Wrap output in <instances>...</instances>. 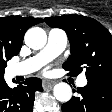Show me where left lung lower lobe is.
I'll return each instance as SVG.
<instances>
[{
	"mask_svg": "<svg viewBox=\"0 0 112 112\" xmlns=\"http://www.w3.org/2000/svg\"><path fill=\"white\" fill-rule=\"evenodd\" d=\"M79 96L62 105V112H110L112 109V81L88 80L77 88Z\"/></svg>",
	"mask_w": 112,
	"mask_h": 112,
	"instance_id": "obj_1",
	"label": "left lung lower lobe"
}]
</instances>
